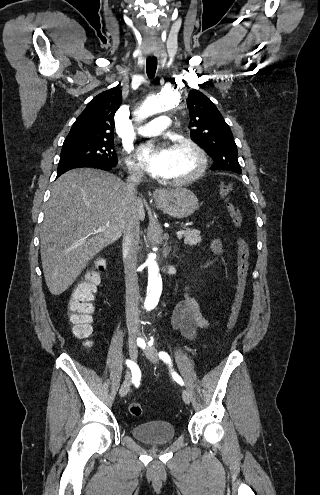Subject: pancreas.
<instances>
[{"label":"pancreas","instance_id":"1","mask_svg":"<svg viewBox=\"0 0 320 495\" xmlns=\"http://www.w3.org/2000/svg\"><path fill=\"white\" fill-rule=\"evenodd\" d=\"M184 243L188 245H197L202 241L200 231L195 229L185 228L184 234Z\"/></svg>","mask_w":320,"mask_h":495}]
</instances>
